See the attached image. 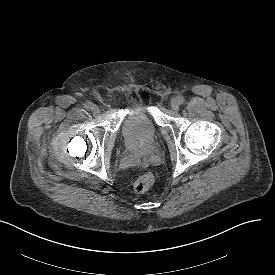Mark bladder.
Masks as SVG:
<instances>
[{"label":"bladder","instance_id":"obj_1","mask_svg":"<svg viewBox=\"0 0 275 275\" xmlns=\"http://www.w3.org/2000/svg\"><path fill=\"white\" fill-rule=\"evenodd\" d=\"M127 111L128 117L122 129L124 138L138 150H143L153 142L157 132L156 126L138 100L129 98Z\"/></svg>","mask_w":275,"mask_h":275}]
</instances>
